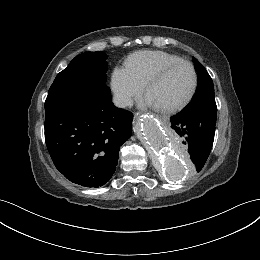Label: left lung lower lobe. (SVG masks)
Here are the masks:
<instances>
[{"instance_id": "obj_1", "label": "left lung lower lobe", "mask_w": 260, "mask_h": 260, "mask_svg": "<svg viewBox=\"0 0 260 260\" xmlns=\"http://www.w3.org/2000/svg\"><path fill=\"white\" fill-rule=\"evenodd\" d=\"M217 108L203 105L193 109H184L170 118L169 125L193 162L198 172L203 168L212 149Z\"/></svg>"}]
</instances>
